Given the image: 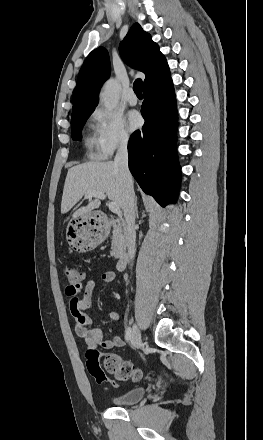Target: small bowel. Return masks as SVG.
Masks as SVG:
<instances>
[{"label":"small bowel","mask_w":263,"mask_h":440,"mask_svg":"<svg viewBox=\"0 0 263 440\" xmlns=\"http://www.w3.org/2000/svg\"><path fill=\"white\" fill-rule=\"evenodd\" d=\"M116 280L114 271H106L102 274V281L105 284H113ZM95 281L89 279L86 283L78 288L67 287V295L70 298V311L75 321V332L77 336L82 338L89 348L101 347L104 349L118 348L123 346L124 340L122 336L116 335L111 340L105 338V334L101 328L93 324L92 319L86 311L91 308L93 301V292L95 289ZM83 289L82 297L77 294ZM120 314L112 311L109 314V320L113 323L118 322Z\"/></svg>","instance_id":"small-bowel-1"}]
</instances>
